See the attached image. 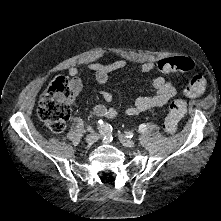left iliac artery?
<instances>
[{"instance_id": "left-iliac-artery-1", "label": "left iliac artery", "mask_w": 221, "mask_h": 221, "mask_svg": "<svg viewBox=\"0 0 221 221\" xmlns=\"http://www.w3.org/2000/svg\"><path fill=\"white\" fill-rule=\"evenodd\" d=\"M146 130V125L145 124H141L139 126V132H144Z\"/></svg>"}]
</instances>
